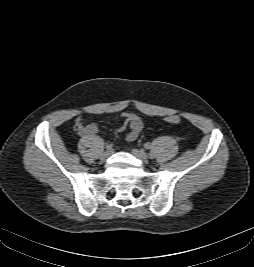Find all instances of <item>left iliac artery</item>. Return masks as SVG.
I'll return each mask as SVG.
<instances>
[{"label":"left iliac artery","instance_id":"44dca946","mask_svg":"<svg viewBox=\"0 0 254 267\" xmlns=\"http://www.w3.org/2000/svg\"><path fill=\"white\" fill-rule=\"evenodd\" d=\"M144 148H145V149H150V148H151V145H150L149 143H145V144H144Z\"/></svg>","mask_w":254,"mask_h":267}]
</instances>
